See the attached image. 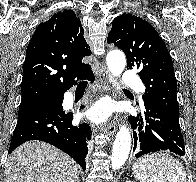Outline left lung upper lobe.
<instances>
[{
    "mask_svg": "<svg viewBox=\"0 0 196 182\" xmlns=\"http://www.w3.org/2000/svg\"><path fill=\"white\" fill-rule=\"evenodd\" d=\"M107 42L124 51L128 69H139L146 87L143 100L151 99L179 118L172 59L152 25L140 17L123 14L113 20Z\"/></svg>",
    "mask_w": 196,
    "mask_h": 182,
    "instance_id": "obj_1",
    "label": "left lung upper lobe"
}]
</instances>
